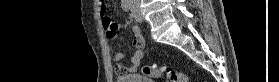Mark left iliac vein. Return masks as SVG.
<instances>
[{"mask_svg":"<svg viewBox=\"0 0 279 82\" xmlns=\"http://www.w3.org/2000/svg\"><path fill=\"white\" fill-rule=\"evenodd\" d=\"M131 14L133 16V18L137 21V22H141L142 21V15L141 12L139 10L138 7L132 6L131 8Z\"/></svg>","mask_w":279,"mask_h":82,"instance_id":"4c4485c4","label":"left iliac vein"}]
</instances>
